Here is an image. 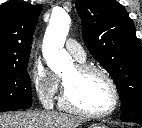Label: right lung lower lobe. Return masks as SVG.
<instances>
[{
	"mask_svg": "<svg viewBox=\"0 0 142 128\" xmlns=\"http://www.w3.org/2000/svg\"><path fill=\"white\" fill-rule=\"evenodd\" d=\"M17 109H4V110H0V112H5V111H15Z\"/></svg>",
	"mask_w": 142,
	"mask_h": 128,
	"instance_id": "right-lung-lower-lobe-1",
	"label": "right lung lower lobe"
}]
</instances>
